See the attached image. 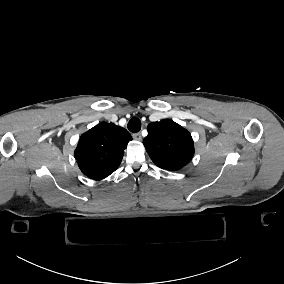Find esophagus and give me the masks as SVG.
Returning <instances> with one entry per match:
<instances>
[{
	"label": "esophagus",
	"instance_id": "obj_1",
	"mask_svg": "<svg viewBox=\"0 0 284 284\" xmlns=\"http://www.w3.org/2000/svg\"><path fill=\"white\" fill-rule=\"evenodd\" d=\"M132 137L134 138V140H137V141L142 140V136H141L140 133H134V134H132Z\"/></svg>",
	"mask_w": 284,
	"mask_h": 284
}]
</instances>
